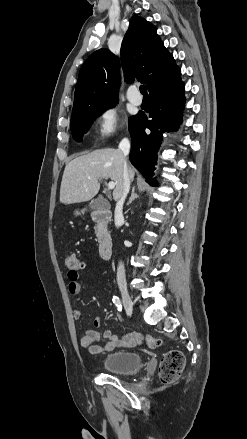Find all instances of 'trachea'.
<instances>
[{"label": "trachea", "mask_w": 247, "mask_h": 439, "mask_svg": "<svg viewBox=\"0 0 247 439\" xmlns=\"http://www.w3.org/2000/svg\"><path fill=\"white\" fill-rule=\"evenodd\" d=\"M140 92H141V94L144 95V96H147V95H148V94H147V88H146L145 85H141V86H140Z\"/></svg>", "instance_id": "1"}]
</instances>
